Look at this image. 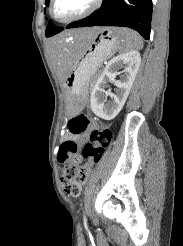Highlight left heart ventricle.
Segmentation results:
<instances>
[{"label": "left heart ventricle", "mask_w": 183, "mask_h": 246, "mask_svg": "<svg viewBox=\"0 0 183 246\" xmlns=\"http://www.w3.org/2000/svg\"><path fill=\"white\" fill-rule=\"evenodd\" d=\"M92 0H55L54 15L58 19H66L84 11Z\"/></svg>", "instance_id": "obj_1"}]
</instances>
